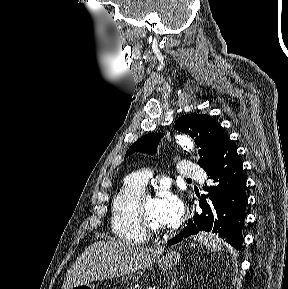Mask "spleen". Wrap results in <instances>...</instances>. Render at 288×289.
I'll return each mask as SVG.
<instances>
[{"mask_svg":"<svg viewBox=\"0 0 288 289\" xmlns=\"http://www.w3.org/2000/svg\"><path fill=\"white\" fill-rule=\"evenodd\" d=\"M197 239L200 243L204 244L208 250L211 249L215 251L219 248L218 245L219 239L214 234L202 232L197 236Z\"/></svg>","mask_w":288,"mask_h":289,"instance_id":"obj_1","label":"spleen"}]
</instances>
